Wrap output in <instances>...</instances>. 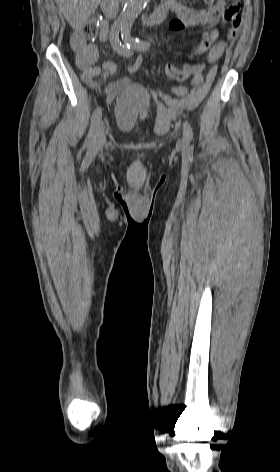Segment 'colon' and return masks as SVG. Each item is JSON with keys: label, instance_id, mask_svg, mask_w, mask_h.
<instances>
[{"label": "colon", "instance_id": "colon-1", "mask_svg": "<svg viewBox=\"0 0 280 472\" xmlns=\"http://www.w3.org/2000/svg\"><path fill=\"white\" fill-rule=\"evenodd\" d=\"M213 1L215 0H207V2H213ZM239 12H240L239 1L232 0L224 12L223 22L230 23L232 27L239 26L241 22V16ZM99 29H100V24L98 20L96 18H93L80 28L79 33L86 37L93 38L98 34ZM195 53H196V47L192 51V55H194ZM77 64L79 67L83 68V63L78 58H77ZM188 67L181 69L172 64H166L163 67V72L165 73L167 77L173 80L182 81V80L187 79L190 76Z\"/></svg>", "mask_w": 280, "mask_h": 472}]
</instances>
